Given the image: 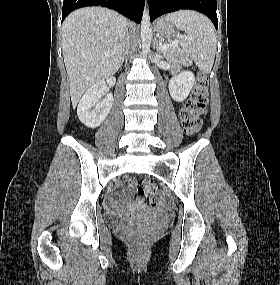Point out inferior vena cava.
Masks as SVG:
<instances>
[{
    "mask_svg": "<svg viewBox=\"0 0 280 285\" xmlns=\"http://www.w3.org/2000/svg\"><path fill=\"white\" fill-rule=\"evenodd\" d=\"M128 43H129V37L126 38V43H125L126 45H125V47H124L125 50H123L124 53L127 52V44H128Z\"/></svg>",
    "mask_w": 280,
    "mask_h": 285,
    "instance_id": "inferior-vena-cava-1",
    "label": "inferior vena cava"
}]
</instances>
